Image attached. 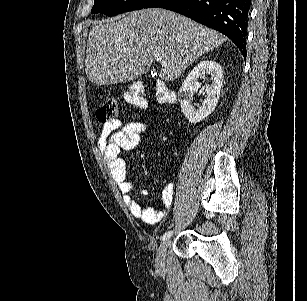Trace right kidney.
I'll return each mask as SVG.
<instances>
[{
	"instance_id": "obj_1",
	"label": "right kidney",
	"mask_w": 307,
	"mask_h": 301,
	"mask_svg": "<svg viewBox=\"0 0 307 301\" xmlns=\"http://www.w3.org/2000/svg\"><path fill=\"white\" fill-rule=\"evenodd\" d=\"M207 74H210L211 84L203 86L206 98L203 100L202 106L195 108V104H192L193 94L201 86L200 82H198L199 78L207 76ZM222 86L223 70L221 64L216 60H201V62H198L186 76L180 90H178V100H180V106L186 118L196 124V122H201L203 118L209 116L219 102Z\"/></svg>"
}]
</instances>
